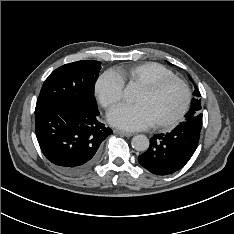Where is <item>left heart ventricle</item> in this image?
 Returning <instances> with one entry per match:
<instances>
[{"label":"left heart ventricle","mask_w":234,"mask_h":234,"mask_svg":"<svg viewBox=\"0 0 234 234\" xmlns=\"http://www.w3.org/2000/svg\"><path fill=\"white\" fill-rule=\"evenodd\" d=\"M134 103L144 106L153 123H157L169 119L179 110L183 103V91L177 84H170L152 95L139 89Z\"/></svg>","instance_id":"left-heart-ventricle-1"}]
</instances>
